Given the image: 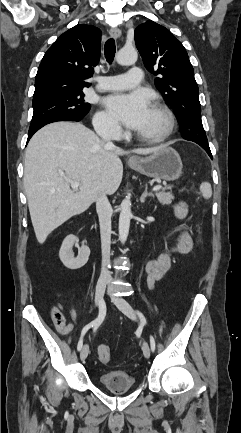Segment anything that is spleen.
<instances>
[{"label": "spleen", "mask_w": 241, "mask_h": 433, "mask_svg": "<svg viewBox=\"0 0 241 433\" xmlns=\"http://www.w3.org/2000/svg\"><path fill=\"white\" fill-rule=\"evenodd\" d=\"M200 193L202 194V196H203L205 199H209V198L212 196V188H211L210 183H208V182H203V183L200 185Z\"/></svg>", "instance_id": "spleen-1"}]
</instances>
